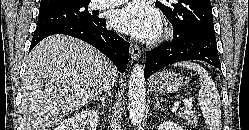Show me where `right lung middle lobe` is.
Wrapping results in <instances>:
<instances>
[{"label": "right lung middle lobe", "instance_id": "right-lung-middle-lobe-1", "mask_svg": "<svg viewBox=\"0 0 249 130\" xmlns=\"http://www.w3.org/2000/svg\"><path fill=\"white\" fill-rule=\"evenodd\" d=\"M90 1H82L71 6L40 8L36 28L62 23H87L96 21V16L88 11Z\"/></svg>", "mask_w": 249, "mask_h": 130}]
</instances>
